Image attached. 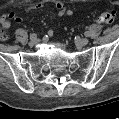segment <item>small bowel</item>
Segmentation results:
<instances>
[{
  "label": "small bowel",
  "mask_w": 119,
  "mask_h": 119,
  "mask_svg": "<svg viewBox=\"0 0 119 119\" xmlns=\"http://www.w3.org/2000/svg\"><path fill=\"white\" fill-rule=\"evenodd\" d=\"M54 5V7L57 10V14L59 16H71L73 14L72 10H70L69 8H67L64 3L60 2V1H55L52 3ZM46 5L45 2H38L35 4H32L28 7V10H35V9H41ZM10 19L15 20L16 22H21L22 18L18 15H16L15 13H8V14H4L1 17V24L2 27L4 29H8L11 26V22ZM52 31H49V36H52Z\"/></svg>",
  "instance_id": "c3829d8e"
}]
</instances>
